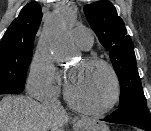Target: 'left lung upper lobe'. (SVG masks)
<instances>
[{
  "label": "left lung upper lobe",
  "mask_w": 151,
  "mask_h": 131,
  "mask_svg": "<svg viewBox=\"0 0 151 131\" xmlns=\"http://www.w3.org/2000/svg\"><path fill=\"white\" fill-rule=\"evenodd\" d=\"M84 12L101 44L109 50L110 60L120 81L119 108L134 101L147 103L137 70L133 42L113 4L107 0L97 1L85 5Z\"/></svg>",
  "instance_id": "obj_1"
}]
</instances>
